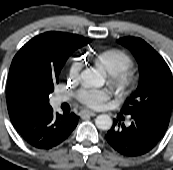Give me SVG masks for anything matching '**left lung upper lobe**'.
Listing matches in <instances>:
<instances>
[{
  "mask_svg": "<svg viewBox=\"0 0 173 170\" xmlns=\"http://www.w3.org/2000/svg\"><path fill=\"white\" fill-rule=\"evenodd\" d=\"M135 56L139 65V83L121 112L146 116L168 126L173 108V79L164 59L144 40L124 37L118 40Z\"/></svg>",
  "mask_w": 173,
  "mask_h": 170,
  "instance_id": "1",
  "label": "left lung upper lobe"
}]
</instances>
